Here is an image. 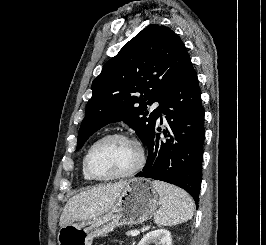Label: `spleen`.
Returning <instances> with one entry per match:
<instances>
[{"instance_id":"3e777b00","label":"spleen","mask_w":266,"mask_h":245,"mask_svg":"<svg viewBox=\"0 0 266 245\" xmlns=\"http://www.w3.org/2000/svg\"><path fill=\"white\" fill-rule=\"evenodd\" d=\"M159 201L162 205L161 209L154 215L156 225L160 227H173L179 223H186L193 217L194 201L190 195L168 183L161 181H152Z\"/></svg>"}]
</instances>
